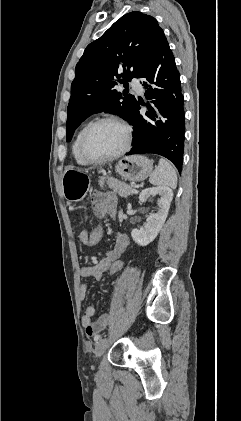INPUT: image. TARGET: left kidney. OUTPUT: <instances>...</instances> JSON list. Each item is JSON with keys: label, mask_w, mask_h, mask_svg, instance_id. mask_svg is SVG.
Masks as SVG:
<instances>
[{"label": "left kidney", "mask_w": 241, "mask_h": 421, "mask_svg": "<svg viewBox=\"0 0 241 421\" xmlns=\"http://www.w3.org/2000/svg\"><path fill=\"white\" fill-rule=\"evenodd\" d=\"M156 195L160 196L157 212L150 214L147 217L144 226L140 228V230L133 229L131 231L133 241L140 246H146L156 238L164 225L169 212L170 204L173 199V192L169 187L158 186L146 188L140 193L139 200L144 203L150 196Z\"/></svg>", "instance_id": "5707ae66"}]
</instances>
